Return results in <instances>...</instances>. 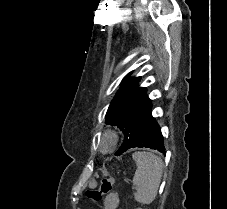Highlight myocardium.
Returning <instances> with one entry per match:
<instances>
[{
	"label": "myocardium",
	"mask_w": 227,
	"mask_h": 209,
	"mask_svg": "<svg viewBox=\"0 0 227 209\" xmlns=\"http://www.w3.org/2000/svg\"><path fill=\"white\" fill-rule=\"evenodd\" d=\"M103 139L107 140L106 144L102 143ZM119 140V131L115 127L108 126L96 134L94 138L95 149L102 154H109L117 148Z\"/></svg>",
	"instance_id": "obj_1"
}]
</instances>
